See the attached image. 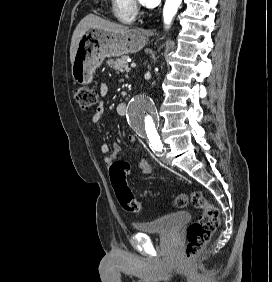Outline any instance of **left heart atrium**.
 <instances>
[{"instance_id":"obj_1","label":"left heart atrium","mask_w":272,"mask_h":282,"mask_svg":"<svg viewBox=\"0 0 272 282\" xmlns=\"http://www.w3.org/2000/svg\"><path fill=\"white\" fill-rule=\"evenodd\" d=\"M142 3L149 8H153L160 3V0H141Z\"/></svg>"}]
</instances>
